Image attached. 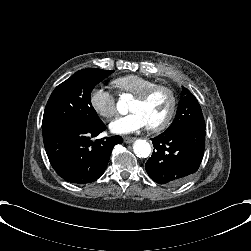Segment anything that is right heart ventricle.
I'll list each match as a JSON object with an SVG mask.
<instances>
[{
    "instance_id": "obj_1",
    "label": "right heart ventricle",
    "mask_w": 251,
    "mask_h": 251,
    "mask_svg": "<svg viewBox=\"0 0 251 251\" xmlns=\"http://www.w3.org/2000/svg\"><path fill=\"white\" fill-rule=\"evenodd\" d=\"M155 81L152 79L137 74H129L113 80L112 84L121 91L137 96L152 86Z\"/></svg>"
}]
</instances>
